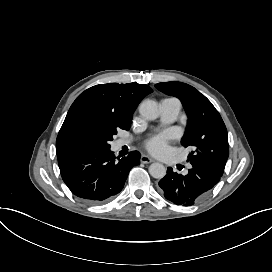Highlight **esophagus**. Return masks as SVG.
<instances>
[{"mask_svg": "<svg viewBox=\"0 0 272 272\" xmlns=\"http://www.w3.org/2000/svg\"><path fill=\"white\" fill-rule=\"evenodd\" d=\"M140 161L141 163H151L154 160L148 155H142Z\"/></svg>", "mask_w": 272, "mask_h": 272, "instance_id": "obj_1", "label": "esophagus"}]
</instances>
